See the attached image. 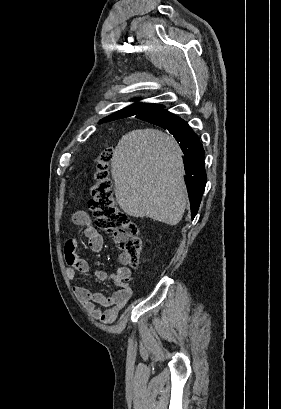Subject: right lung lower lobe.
<instances>
[{
  "instance_id": "1",
  "label": "right lung lower lobe",
  "mask_w": 281,
  "mask_h": 409,
  "mask_svg": "<svg viewBox=\"0 0 281 409\" xmlns=\"http://www.w3.org/2000/svg\"><path fill=\"white\" fill-rule=\"evenodd\" d=\"M161 109L138 114L136 115V118L148 121L149 119L161 116H174L170 112ZM164 129L169 130L177 142H180L179 146L181 147L185 156V160L183 162L188 182L191 217L193 219L199 209L207 181L204 166L205 151L197 135L184 120L180 119Z\"/></svg>"
}]
</instances>
